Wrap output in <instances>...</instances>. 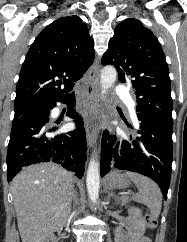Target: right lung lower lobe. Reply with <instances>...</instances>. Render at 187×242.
Masks as SVG:
<instances>
[{
	"label": "right lung lower lobe",
	"mask_w": 187,
	"mask_h": 242,
	"mask_svg": "<svg viewBox=\"0 0 187 242\" xmlns=\"http://www.w3.org/2000/svg\"><path fill=\"white\" fill-rule=\"evenodd\" d=\"M56 102L68 105L67 116L73 118L76 129L58 134L57 127L49 124L50 110ZM74 93L52 101L44 107L14 118L7 152V179L13 177L24 166L55 162L62 165L75 176L84 174L86 161V136L81 116L74 110Z\"/></svg>",
	"instance_id": "right-lung-lower-lobe-1"
}]
</instances>
